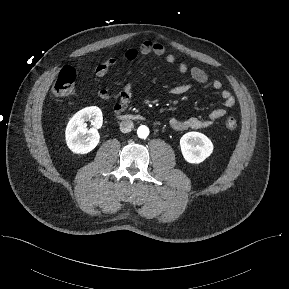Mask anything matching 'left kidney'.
<instances>
[{
	"label": "left kidney",
	"mask_w": 289,
	"mask_h": 289,
	"mask_svg": "<svg viewBox=\"0 0 289 289\" xmlns=\"http://www.w3.org/2000/svg\"><path fill=\"white\" fill-rule=\"evenodd\" d=\"M184 159L192 164L203 162L213 152L211 140L202 133L188 132L180 139Z\"/></svg>",
	"instance_id": "left-kidney-1"
}]
</instances>
